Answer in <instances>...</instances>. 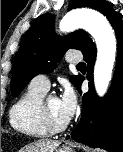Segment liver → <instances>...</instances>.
Wrapping results in <instances>:
<instances>
[{"label":"liver","mask_w":123,"mask_h":152,"mask_svg":"<svg viewBox=\"0 0 123 152\" xmlns=\"http://www.w3.org/2000/svg\"><path fill=\"white\" fill-rule=\"evenodd\" d=\"M59 145V141L43 139L27 145L19 152H54Z\"/></svg>","instance_id":"liver-1"}]
</instances>
